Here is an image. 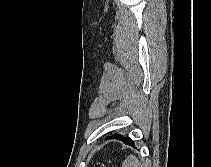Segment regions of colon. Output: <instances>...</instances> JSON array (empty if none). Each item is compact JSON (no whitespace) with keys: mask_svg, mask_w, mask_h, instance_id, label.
Segmentation results:
<instances>
[{"mask_svg":"<svg viewBox=\"0 0 211 167\" xmlns=\"http://www.w3.org/2000/svg\"><path fill=\"white\" fill-rule=\"evenodd\" d=\"M97 167H103V165H98Z\"/></svg>","mask_w":211,"mask_h":167,"instance_id":"5ec220e1","label":"colon"}]
</instances>
